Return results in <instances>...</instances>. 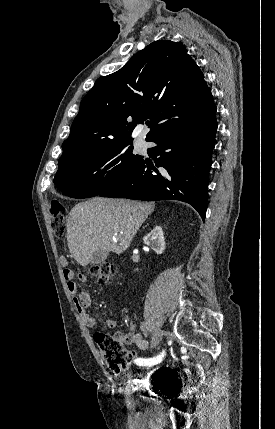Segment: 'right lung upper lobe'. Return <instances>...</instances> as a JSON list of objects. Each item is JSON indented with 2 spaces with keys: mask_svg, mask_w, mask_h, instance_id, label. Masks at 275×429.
I'll use <instances>...</instances> for the list:
<instances>
[{
  "mask_svg": "<svg viewBox=\"0 0 275 429\" xmlns=\"http://www.w3.org/2000/svg\"><path fill=\"white\" fill-rule=\"evenodd\" d=\"M215 109L204 75L184 46L155 41L117 72L96 80L81 101L58 167L88 152L132 140V131L146 119L151 128L148 141Z\"/></svg>",
  "mask_w": 275,
  "mask_h": 429,
  "instance_id": "obj_1",
  "label": "right lung upper lobe"
}]
</instances>
